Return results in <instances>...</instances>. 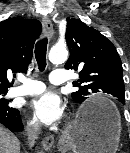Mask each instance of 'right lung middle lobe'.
<instances>
[{
    "label": "right lung middle lobe",
    "mask_w": 130,
    "mask_h": 153,
    "mask_svg": "<svg viewBox=\"0 0 130 153\" xmlns=\"http://www.w3.org/2000/svg\"><path fill=\"white\" fill-rule=\"evenodd\" d=\"M7 93V91H0V106H4L6 108H10L8 106L10 100L5 99L3 96Z\"/></svg>",
    "instance_id": "1"
}]
</instances>
